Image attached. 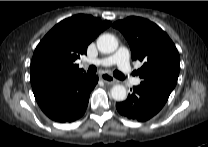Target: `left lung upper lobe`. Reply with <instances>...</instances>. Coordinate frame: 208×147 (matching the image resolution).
<instances>
[{
	"instance_id": "left-lung-upper-lobe-1",
	"label": "left lung upper lobe",
	"mask_w": 208,
	"mask_h": 147,
	"mask_svg": "<svg viewBox=\"0 0 208 147\" xmlns=\"http://www.w3.org/2000/svg\"><path fill=\"white\" fill-rule=\"evenodd\" d=\"M113 27L127 39L132 59L143 63L136 71L141 84L170 94L179 76L180 57L169 36L155 23L134 16L115 22Z\"/></svg>"
}]
</instances>
